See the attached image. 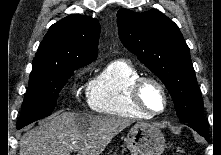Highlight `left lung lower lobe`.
Wrapping results in <instances>:
<instances>
[{
	"label": "left lung lower lobe",
	"mask_w": 221,
	"mask_h": 155,
	"mask_svg": "<svg viewBox=\"0 0 221 155\" xmlns=\"http://www.w3.org/2000/svg\"><path fill=\"white\" fill-rule=\"evenodd\" d=\"M187 126L193 128L195 131H197L201 136H204L207 141H209V133L206 129L205 125H196L191 123H185Z\"/></svg>",
	"instance_id": "0a47b994"
}]
</instances>
